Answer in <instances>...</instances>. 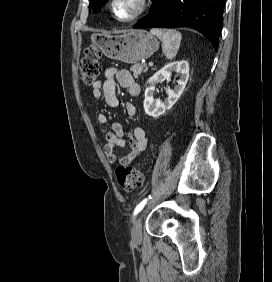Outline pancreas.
<instances>
[{"mask_svg": "<svg viewBox=\"0 0 272 282\" xmlns=\"http://www.w3.org/2000/svg\"><path fill=\"white\" fill-rule=\"evenodd\" d=\"M135 78H138L142 73L147 71V67L143 64H135L130 68Z\"/></svg>", "mask_w": 272, "mask_h": 282, "instance_id": "pancreas-1", "label": "pancreas"}]
</instances>
